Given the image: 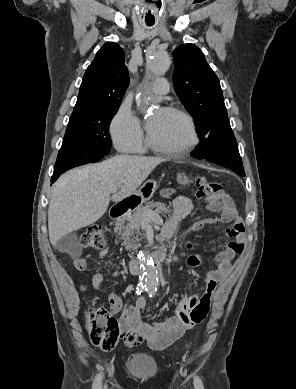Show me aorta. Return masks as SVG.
Wrapping results in <instances>:
<instances>
[{
    "instance_id": "762f6f07",
    "label": "aorta",
    "mask_w": 296,
    "mask_h": 389,
    "mask_svg": "<svg viewBox=\"0 0 296 389\" xmlns=\"http://www.w3.org/2000/svg\"><path fill=\"white\" fill-rule=\"evenodd\" d=\"M171 60L169 54L162 49H156L149 54L146 68L149 76L164 75L169 69ZM148 97L141 96V102L146 103ZM140 262L142 266L141 283H145L150 289H154L158 283L157 265L154 263L148 250L144 249L139 252Z\"/></svg>"
}]
</instances>
